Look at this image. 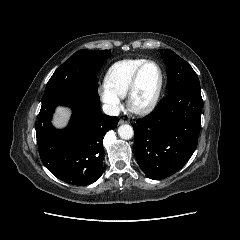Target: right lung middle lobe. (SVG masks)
I'll list each match as a JSON object with an SVG mask.
<instances>
[{"label":"right lung middle lobe","mask_w":240,"mask_h":240,"mask_svg":"<svg viewBox=\"0 0 240 240\" xmlns=\"http://www.w3.org/2000/svg\"><path fill=\"white\" fill-rule=\"evenodd\" d=\"M111 50H79L65 61L47 83L42 103L64 96H95L96 76Z\"/></svg>","instance_id":"right-lung-middle-lobe-1"}]
</instances>
